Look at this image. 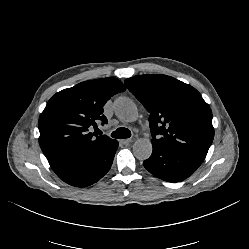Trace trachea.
<instances>
[{"mask_svg":"<svg viewBox=\"0 0 249 249\" xmlns=\"http://www.w3.org/2000/svg\"><path fill=\"white\" fill-rule=\"evenodd\" d=\"M111 137L117 139L129 138L131 137V131L125 127L118 128L110 134Z\"/></svg>","mask_w":249,"mask_h":249,"instance_id":"3493384b","label":"trachea"}]
</instances>
